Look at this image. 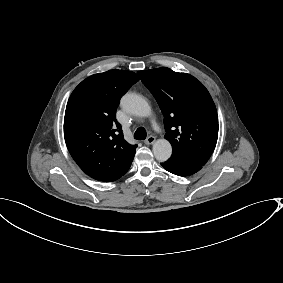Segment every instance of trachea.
Returning <instances> with one entry per match:
<instances>
[{"label":"trachea","mask_w":283,"mask_h":283,"mask_svg":"<svg viewBox=\"0 0 283 283\" xmlns=\"http://www.w3.org/2000/svg\"><path fill=\"white\" fill-rule=\"evenodd\" d=\"M146 136H147V133L143 127H139L134 133V138L138 140H144L146 139Z\"/></svg>","instance_id":"trachea-1"}]
</instances>
